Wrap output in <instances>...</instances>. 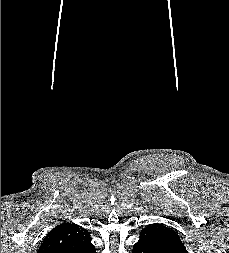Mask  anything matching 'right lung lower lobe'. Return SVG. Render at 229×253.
<instances>
[{
    "instance_id": "obj_1",
    "label": "right lung lower lobe",
    "mask_w": 229,
    "mask_h": 253,
    "mask_svg": "<svg viewBox=\"0 0 229 253\" xmlns=\"http://www.w3.org/2000/svg\"><path fill=\"white\" fill-rule=\"evenodd\" d=\"M61 253H96V250L88 240Z\"/></svg>"
}]
</instances>
